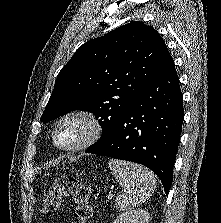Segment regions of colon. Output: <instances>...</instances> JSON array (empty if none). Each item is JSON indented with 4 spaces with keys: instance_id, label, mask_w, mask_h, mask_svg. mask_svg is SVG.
<instances>
[{
    "instance_id": "1",
    "label": "colon",
    "mask_w": 221,
    "mask_h": 223,
    "mask_svg": "<svg viewBox=\"0 0 221 223\" xmlns=\"http://www.w3.org/2000/svg\"><path fill=\"white\" fill-rule=\"evenodd\" d=\"M91 189L77 177L57 181L50 187L42 201L41 213L51 214L56 212L64 199L72 198L76 206L74 208V223H88L92 215V207L89 203Z\"/></svg>"
}]
</instances>
